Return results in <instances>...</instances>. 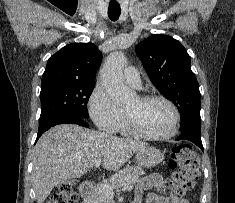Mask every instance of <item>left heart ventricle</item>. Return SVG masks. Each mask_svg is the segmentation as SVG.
Listing matches in <instances>:
<instances>
[{"label": "left heart ventricle", "mask_w": 235, "mask_h": 203, "mask_svg": "<svg viewBox=\"0 0 235 203\" xmlns=\"http://www.w3.org/2000/svg\"><path fill=\"white\" fill-rule=\"evenodd\" d=\"M125 110L149 134H164L170 130L173 122L171 109L161 101L143 102L136 97L125 106Z\"/></svg>", "instance_id": "b2bd125f"}]
</instances>
